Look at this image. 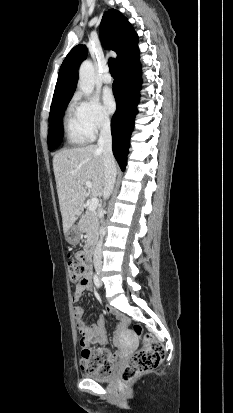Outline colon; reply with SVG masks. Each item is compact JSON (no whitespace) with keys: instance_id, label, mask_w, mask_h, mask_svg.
I'll return each instance as SVG.
<instances>
[{"instance_id":"colon-1","label":"colon","mask_w":233,"mask_h":413,"mask_svg":"<svg viewBox=\"0 0 233 413\" xmlns=\"http://www.w3.org/2000/svg\"><path fill=\"white\" fill-rule=\"evenodd\" d=\"M68 273L72 283L81 282L89 273L87 261L82 258H74L68 262ZM134 331L142 336V347L131 357L122 371L123 381H130L138 375L149 372L162 362L164 357L163 345L149 333L144 334L143 327L134 325ZM82 359L85 369L91 373L106 375L112 371V356L106 350L93 351L90 348L82 350Z\"/></svg>"}]
</instances>
